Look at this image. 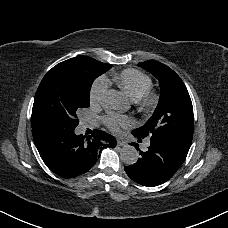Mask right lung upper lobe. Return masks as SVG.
<instances>
[{"label": "right lung upper lobe", "instance_id": "cb5924a9", "mask_svg": "<svg viewBox=\"0 0 228 228\" xmlns=\"http://www.w3.org/2000/svg\"><path fill=\"white\" fill-rule=\"evenodd\" d=\"M93 58L86 57V56H77L75 58L68 59L64 62H61L58 64V66H63L68 69H78L82 67L83 65L87 64L90 60Z\"/></svg>", "mask_w": 228, "mask_h": 228}]
</instances>
